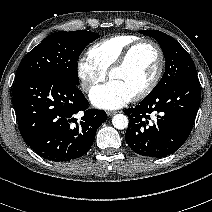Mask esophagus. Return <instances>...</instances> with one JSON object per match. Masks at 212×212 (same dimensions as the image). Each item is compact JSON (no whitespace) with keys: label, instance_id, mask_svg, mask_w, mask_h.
<instances>
[{"label":"esophagus","instance_id":"34e87169","mask_svg":"<svg viewBox=\"0 0 212 212\" xmlns=\"http://www.w3.org/2000/svg\"><path fill=\"white\" fill-rule=\"evenodd\" d=\"M116 114V111H107L108 116H113Z\"/></svg>","mask_w":212,"mask_h":212}]
</instances>
